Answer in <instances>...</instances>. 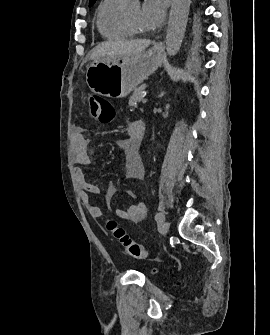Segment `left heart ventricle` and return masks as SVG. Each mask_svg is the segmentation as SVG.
<instances>
[{
  "instance_id": "left-heart-ventricle-1",
  "label": "left heart ventricle",
  "mask_w": 270,
  "mask_h": 335,
  "mask_svg": "<svg viewBox=\"0 0 270 335\" xmlns=\"http://www.w3.org/2000/svg\"><path fill=\"white\" fill-rule=\"evenodd\" d=\"M135 30H141L140 18H141V8H134L125 15Z\"/></svg>"
}]
</instances>
